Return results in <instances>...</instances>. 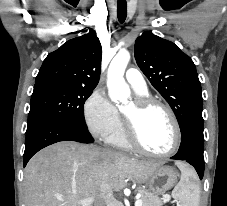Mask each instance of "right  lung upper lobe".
Instances as JSON below:
<instances>
[{"label":"right lung upper lobe","mask_w":227,"mask_h":206,"mask_svg":"<svg viewBox=\"0 0 227 206\" xmlns=\"http://www.w3.org/2000/svg\"><path fill=\"white\" fill-rule=\"evenodd\" d=\"M102 48L93 31L71 39L48 54L35 84L54 82L95 88L99 81Z\"/></svg>","instance_id":"cb5924a9"}]
</instances>
